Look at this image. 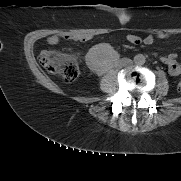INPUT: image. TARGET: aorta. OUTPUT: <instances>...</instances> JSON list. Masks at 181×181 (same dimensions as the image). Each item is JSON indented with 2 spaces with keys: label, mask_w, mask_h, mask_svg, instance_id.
<instances>
[{
  "label": "aorta",
  "mask_w": 181,
  "mask_h": 181,
  "mask_svg": "<svg viewBox=\"0 0 181 181\" xmlns=\"http://www.w3.org/2000/svg\"><path fill=\"white\" fill-rule=\"evenodd\" d=\"M146 61V58L143 54H137L135 57H134V62L135 64L137 65H143Z\"/></svg>",
  "instance_id": "aorta-1"
}]
</instances>
